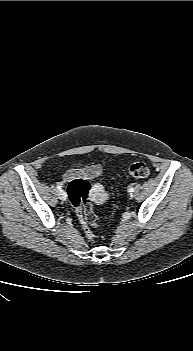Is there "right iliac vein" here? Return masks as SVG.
<instances>
[{"label": "right iliac vein", "mask_w": 193, "mask_h": 351, "mask_svg": "<svg viewBox=\"0 0 193 351\" xmlns=\"http://www.w3.org/2000/svg\"><path fill=\"white\" fill-rule=\"evenodd\" d=\"M58 195H59V198H60L61 200H63V201L66 200V198H67V194H66V192L63 191V190L60 191Z\"/></svg>", "instance_id": "obj_1"}]
</instances>
